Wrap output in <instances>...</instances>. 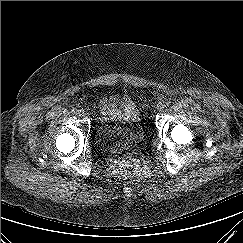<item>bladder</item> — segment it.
<instances>
[{"mask_svg":"<svg viewBox=\"0 0 243 243\" xmlns=\"http://www.w3.org/2000/svg\"><path fill=\"white\" fill-rule=\"evenodd\" d=\"M144 138L140 112L136 104L126 99L117 118L103 116L95 128V140L103 146H126L140 143Z\"/></svg>","mask_w":243,"mask_h":243,"instance_id":"1","label":"bladder"}]
</instances>
